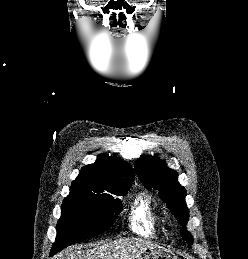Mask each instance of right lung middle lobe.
Masks as SVG:
<instances>
[{
	"label": "right lung middle lobe",
	"mask_w": 248,
	"mask_h": 259,
	"mask_svg": "<svg viewBox=\"0 0 248 259\" xmlns=\"http://www.w3.org/2000/svg\"><path fill=\"white\" fill-rule=\"evenodd\" d=\"M128 192L70 190L61 207L57 224L54 253L63 248L91 238L108 230L122 211V203L113 195L124 196Z\"/></svg>",
	"instance_id": "right-lung-middle-lobe-1"
}]
</instances>
